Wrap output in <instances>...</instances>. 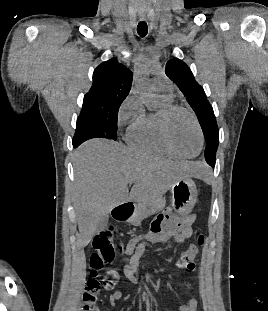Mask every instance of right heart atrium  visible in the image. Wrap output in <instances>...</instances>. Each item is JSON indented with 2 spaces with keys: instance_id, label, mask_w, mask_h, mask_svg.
<instances>
[{
  "instance_id": "right-heart-atrium-1",
  "label": "right heart atrium",
  "mask_w": 268,
  "mask_h": 311,
  "mask_svg": "<svg viewBox=\"0 0 268 311\" xmlns=\"http://www.w3.org/2000/svg\"><path fill=\"white\" fill-rule=\"evenodd\" d=\"M143 113L142 104L139 98L136 96H130L120 108L118 122L120 125H125L130 121L136 120Z\"/></svg>"
}]
</instances>
